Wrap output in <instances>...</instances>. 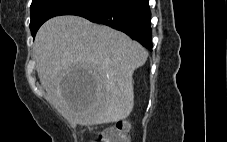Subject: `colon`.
<instances>
[{
    "label": "colon",
    "mask_w": 227,
    "mask_h": 142,
    "mask_svg": "<svg viewBox=\"0 0 227 142\" xmlns=\"http://www.w3.org/2000/svg\"><path fill=\"white\" fill-rule=\"evenodd\" d=\"M130 124L127 121H119L114 126L101 131L97 139L92 142H128Z\"/></svg>",
    "instance_id": "colon-1"
}]
</instances>
